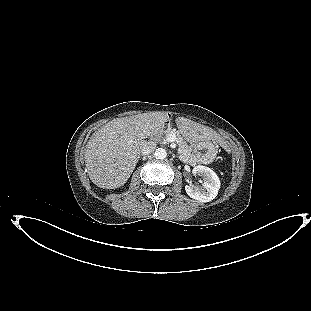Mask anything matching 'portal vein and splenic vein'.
Segmentation results:
<instances>
[{
    "mask_svg": "<svg viewBox=\"0 0 311 311\" xmlns=\"http://www.w3.org/2000/svg\"><path fill=\"white\" fill-rule=\"evenodd\" d=\"M177 140V138H176V135H168L167 136V138H166V141L167 142H174V141H176Z\"/></svg>",
    "mask_w": 311,
    "mask_h": 311,
    "instance_id": "18ae733b",
    "label": "portal vein and splenic vein"
}]
</instances>
